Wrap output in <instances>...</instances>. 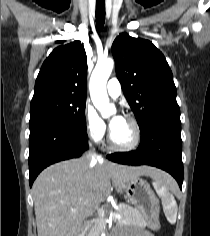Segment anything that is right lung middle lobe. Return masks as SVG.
I'll return each instance as SVG.
<instances>
[{
  "instance_id": "obj_1",
  "label": "right lung middle lobe",
  "mask_w": 210,
  "mask_h": 236,
  "mask_svg": "<svg viewBox=\"0 0 210 236\" xmlns=\"http://www.w3.org/2000/svg\"><path fill=\"white\" fill-rule=\"evenodd\" d=\"M85 97L54 95L31 102L30 129L45 124L69 125L86 130Z\"/></svg>"
}]
</instances>
